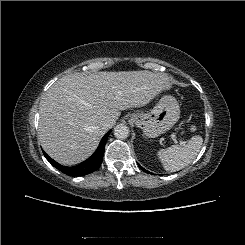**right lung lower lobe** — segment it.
<instances>
[{"instance_id": "obj_1", "label": "right lung lower lobe", "mask_w": 245, "mask_h": 245, "mask_svg": "<svg viewBox=\"0 0 245 245\" xmlns=\"http://www.w3.org/2000/svg\"><path fill=\"white\" fill-rule=\"evenodd\" d=\"M110 131L103 137V139L100 142L99 147L97 148L96 152L85 162H83L80 165L73 166V167H67L63 166L56 161H54L52 158H50L44 151L43 154L46 157V159L58 170L62 171L66 175L69 176H84L89 173H92L96 171L102 163L103 160V154L105 150V144L107 141V138L109 136Z\"/></svg>"}]
</instances>
